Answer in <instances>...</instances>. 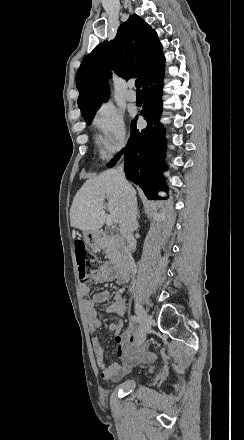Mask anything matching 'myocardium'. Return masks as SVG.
<instances>
[{
    "label": "myocardium",
    "instance_id": "1",
    "mask_svg": "<svg viewBox=\"0 0 244 440\" xmlns=\"http://www.w3.org/2000/svg\"><path fill=\"white\" fill-rule=\"evenodd\" d=\"M168 184H170V182H171V180L170 179H167V181H166Z\"/></svg>",
    "mask_w": 244,
    "mask_h": 440
}]
</instances>
